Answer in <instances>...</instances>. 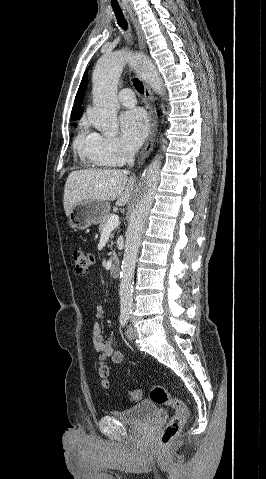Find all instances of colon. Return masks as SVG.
I'll return each mask as SVG.
<instances>
[{"instance_id": "colon-1", "label": "colon", "mask_w": 266, "mask_h": 479, "mask_svg": "<svg viewBox=\"0 0 266 479\" xmlns=\"http://www.w3.org/2000/svg\"><path fill=\"white\" fill-rule=\"evenodd\" d=\"M72 258L78 275L85 276L89 274L94 264V257L91 253L82 248H76L73 251ZM104 358V355L100 358L98 364V376L102 381L103 387L107 388L109 386V368L105 364ZM130 397L132 401H139L142 399L143 393L140 390H134L131 392ZM150 399L158 405L171 407L175 412L160 435L161 444L168 445L180 433L183 425L186 423L189 417V409L182 400L169 394V392L161 385H155L151 389Z\"/></svg>"}]
</instances>
